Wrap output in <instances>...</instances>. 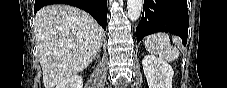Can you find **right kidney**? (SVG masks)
I'll return each mask as SVG.
<instances>
[{"label":"right kidney","instance_id":"ca27d5eb","mask_svg":"<svg viewBox=\"0 0 227 88\" xmlns=\"http://www.w3.org/2000/svg\"><path fill=\"white\" fill-rule=\"evenodd\" d=\"M56 88H83V79L80 75H74L64 79Z\"/></svg>","mask_w":227,"mask_h":88}]
</instances>
